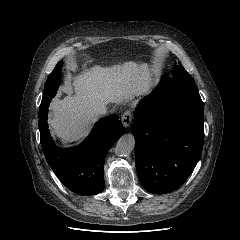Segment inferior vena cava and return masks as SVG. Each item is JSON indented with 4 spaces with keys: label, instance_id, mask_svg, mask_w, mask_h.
<instances>
[{
    "label": "inferior vena cava",
    "instance_id": "obj_1",
    "mask_svg": "<svg viewBox=\"0 0 240 240\" xmlns=\"http://www.w3.org/2000/svg\"><path fill=\"white\" fill-rule=\"evenodd\" d=\"M108 104L102 101H95L90 104V109L95 115L106 114L108 112Z\"/></svg>",
    "mask_w": 240,
    "mask_h": 240
}]
</instances>
